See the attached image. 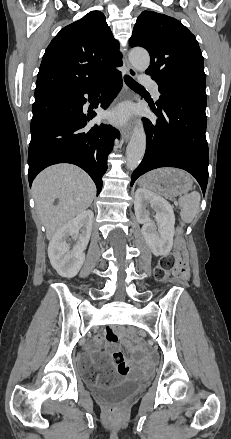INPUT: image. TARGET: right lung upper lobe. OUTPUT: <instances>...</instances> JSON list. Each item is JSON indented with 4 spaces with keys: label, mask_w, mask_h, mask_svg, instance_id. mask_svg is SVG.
Wrapping results in <instances>:
<instances>
[{
    "label": "right lung upper lobe",
    "mask_w": 231,
    "mask_h": 439,
    "mask_svg": "<svg viewBox=\"0 0 231 439\" xmlns=\"http://www.w3.org/2000/svg\"><path fill=\"white\" fill-rule=\"evenodd\" d=\"M122 65L119 42L104 14L91 11L64 27L47 47L37 76L35 97L79 91Z\"/></svg>",
    "instance_id": "obj_1"
}]
</instances>
